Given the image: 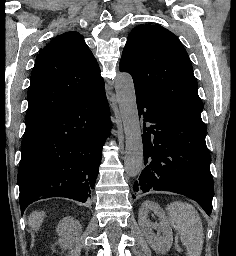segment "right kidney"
I'll list each match as a JSON object with an SVG mask.
<instances>
[{"mask_svg": "<svg viewBox=\"0 0 236 256\" xmlns=\"http://www.w3.org/2000/svg\"><path fill=\"white\" fill-rule=\"evenodd\" d=\"M56 232L60 236L58 244H60L62 250H71L73 246H78L82 242V226L71 216L60 220Z\"/></svg>", "mask_w": 236, "mask_h": 256, "instance_id": "right-kidney-1", "label": "right kidney"}]
</instances>
